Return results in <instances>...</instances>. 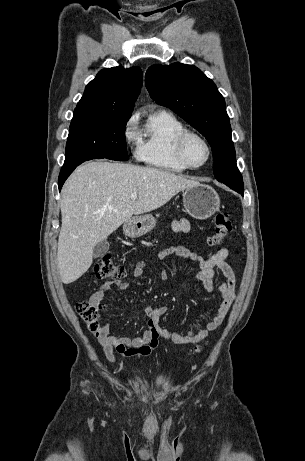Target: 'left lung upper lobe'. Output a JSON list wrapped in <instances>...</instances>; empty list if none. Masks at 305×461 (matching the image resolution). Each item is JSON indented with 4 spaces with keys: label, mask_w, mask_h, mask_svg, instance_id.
Returning <instances> with one entry per match:
<instances>
[{
    "label": "left lung upper lobe",
    "mask_w": 305,
    "mask_h": 461,
    "mask_svg": "<svg viewBox=\"0 0 305 461\" xmlns=\"http://www.w3.org/2000/svg\"><path fill=\"white\" fill-rule=\"evenodd\" d=\"M145 78L158 104L171 108L205 136L213 152L215 178L239 193L244 191L225 100L214 82L197 67L181 63L153 65Z\"/></svg>",
    "instance_id": "left-lung-upper-lobe-1"
}]
</instances>
